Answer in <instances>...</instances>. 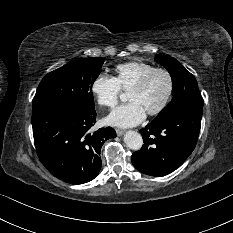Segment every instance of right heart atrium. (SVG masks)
<instances>
[{
	"instance_id": "right-heart-atrium-1",
	"label": "right heart atrium",
	"mask_w": 233,
	"mask_h": 233,
	"mask_svg": "<svg viewBox=\"0 0 233 233\" xmlns=\"http://www.w3.org/2000/svg\"><path fill=\"white\" fill-rule=\"evenodd\" d=\"M90 88L97 104L101 107H113L121 92V88L114 77L105 73L96 75Z\"/></svg>"
}]
</instances>
